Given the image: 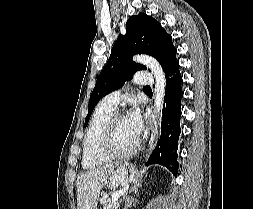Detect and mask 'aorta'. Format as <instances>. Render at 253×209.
Returning a JSON list of instances; mask_svg holds the SVG:
<instances>
[{"instance_id": "762f6f07", "label": "aorta", "mask_w": 253, "mask_h": 209, "mask_svg": "<svg viewBox=\"0 0 253 209\" xmlns=\"http://www.w3.org/2000/svg\"><path fill=\"white\" fill-rule=\"evenodd\" d=\"M134 60L150 68L152 73L154 74L155 81H156L155 100H154L156 120L153 122V125L151 128L152 135H151L150 144H149L147 155H146L147 157H149L157 142V137H158V132H159V116L162 110V104H163V99L165 95L166 79H165V74L163 72V69L156 59L147 55H137L135 56Z\"/></svg>"}]
</instances>
